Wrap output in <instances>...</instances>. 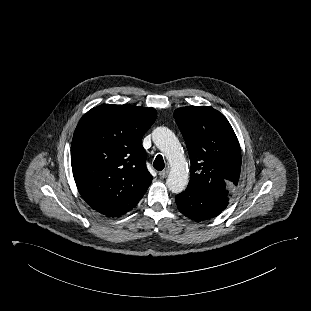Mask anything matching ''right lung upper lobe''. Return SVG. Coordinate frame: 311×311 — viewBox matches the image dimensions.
Returning <instances> with one entry per match:
<instances>
[{
    "mask_svg": "<svg viewBox=\"0 0 311 311\" xmlns=\"http://www.w3.org/2000/svg\"><path fill=\"white\" fill-rule=\"evenodd\" d=\"M156 116L153 108L103 104L81 118L71 165L78 191L92 209L118 217L142 199L153 177L141 140Z\"/></svg>",
    "mask_w": 311,
    "mask_h": 311,
    "instance_id": "1",
    "label": "right lung upper lobe"
}]
</instances>
